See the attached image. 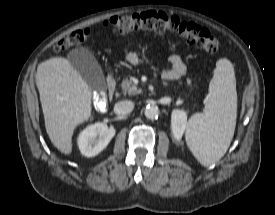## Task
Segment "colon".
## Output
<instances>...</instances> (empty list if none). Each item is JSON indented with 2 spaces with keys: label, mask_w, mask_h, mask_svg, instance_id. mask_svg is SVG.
Returning a JSON list of instances; mask_svg holds the SVG:
<instances>
[{
  "label": "colon",
  "mask_w": 275,
  "mask_h": 215,
  "mask_svg": "<svg viewBox=\"0 0 275 215\" xmlns=\"http://www.w3.org/2000/svg\"><path fill=\"white\" fill-rule=\"evenodd\" d=\"M104 26L120 34L141 30L175 34L183 41L195 44L209 53L217 52L220 46L219 41L203 26L158 11L115 16L106 21ZM91 34L90 29L74 31L59 40L53 50L55 53H61L73 45L87 41Z\"/></svg>",
  "instance_id": "obj_1"
}]
</instances>
